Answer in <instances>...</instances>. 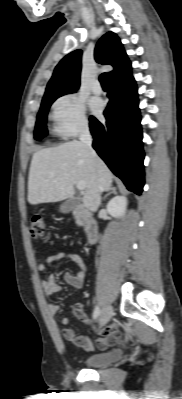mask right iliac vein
Returning <instances> with one entry per match:
<instances>
[{
  "label": "right iliac vein",
  "mask_w": 182,
  "mask_h": 399,
  "mask_svg": "<svg viewBox=\"0 0 182 399\" xmlns=\"http://www.w3.org/2000/svg\"><path fill=\"white\" fill-rule=\"evenodd\" d=\"M111 317H112V307L110 305H105L100 315V320H99L100 325H105L106 323H108Z\"/></svg>",
  "instance_id": "obj_1"
}]
</instances>
